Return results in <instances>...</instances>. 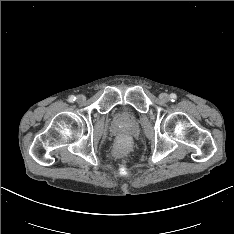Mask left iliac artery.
I'll use <instances>...</instances> for the list:
<instances>
[{"label":"left iliac artery","instance_id":"1","mask_svg":"<svg viewBox=\"0 0 234 234\" xmlns=\"http://www.w3.org/2000/svg\"><path fill=\"white\" fill-rule=\"evenodd\" d=\"M177 99V95L175 93L170 94V100L174 102Z\"/></svg>","mask_w":234,"mask_h":234}]
</instances>
